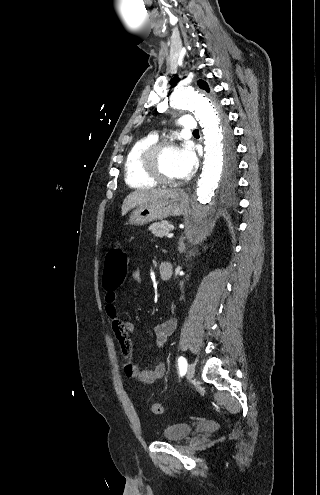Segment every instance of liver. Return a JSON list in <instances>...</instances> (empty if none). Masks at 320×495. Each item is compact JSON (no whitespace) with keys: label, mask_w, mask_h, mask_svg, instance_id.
Segmentation results:
<instances>
[{"label":"liver","mask_w":320,"mask_h":495,"mask_svg":"<svg viewBox=\"0 0 320 495\" xmlns=\"http://www.w3.org/2000/svg\"><path fill=\"white\" fill-rule=\"evenodd\" d=\"M170 192L171 190L133 191L124 199L121 214L124 216L131 209L155 201Z\"/></svg>","instance_id":"6515ba94"}]
</instances>
